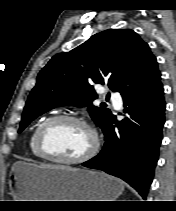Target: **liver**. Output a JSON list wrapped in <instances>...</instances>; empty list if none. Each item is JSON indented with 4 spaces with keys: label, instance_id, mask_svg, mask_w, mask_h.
Here are the masks:
<instances>
[{
    "label": "liver",
    "instance_id": "6515ba94",
    "mask_svg": "<svg viewBox=\"0 0 176 211\" xmlns=\"http://www.w3.org/2000/svg\"><path fill=\"white\" fill-rule=\"evenodd\" d=\"M41 166H44V167H52V165H41Z\"/></svg>",
    "mask_w": 176,
    "mask_h": 211
}]
</instances>
